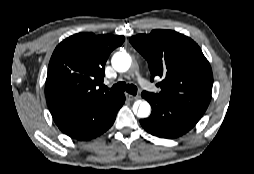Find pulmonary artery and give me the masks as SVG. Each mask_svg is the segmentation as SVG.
<instances>
[{"label":"pulmonary artery","instance_id":"1","mask_svg":"<svg viewBox=\"0 0 254 174\" xmlns=\"http://www.w3.org/2000/svg\"><path fill=\"white\" fill-rule=\"evenodd\" d=\"M138 82L143 88L149 87V82L141 76L138 77Z\"/></svg>","mask_w":254,"mask_h":174}]
</instances>
